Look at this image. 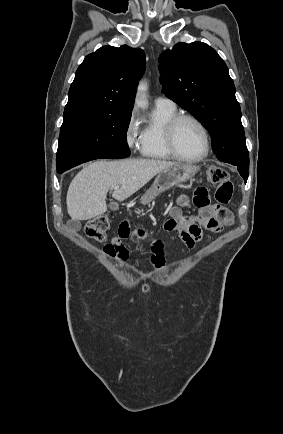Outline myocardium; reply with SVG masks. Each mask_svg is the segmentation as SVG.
<instances>
[{"label": "myocardium", "instance_id": "1", "mask_svg": "<svg viewBox=\"0 0 283 434\" xmlns=\"http://www.w3.org/2000/svg\"><path fill=\"white\" fill-rule=\"evenodd\" d=\"M183 120H189V121H192L193 123H195L202 133L203 140H204V150L198 156H195V157L184 156L178 151V149L176 147L175 131H176L178 124ZM164 135H165L166 146H167L169 152L172 154V156L174 158H176L178 160L185 161V162H199V161L203 160L205 157H207V155L209 154V151H210L209 132H208L206 126L202 123V121L192 114L177 113L175 116H173L167 122V124L165 126Z\"/></svg>", "mask_w": 283, "mask_h": 434}]
</instances>
